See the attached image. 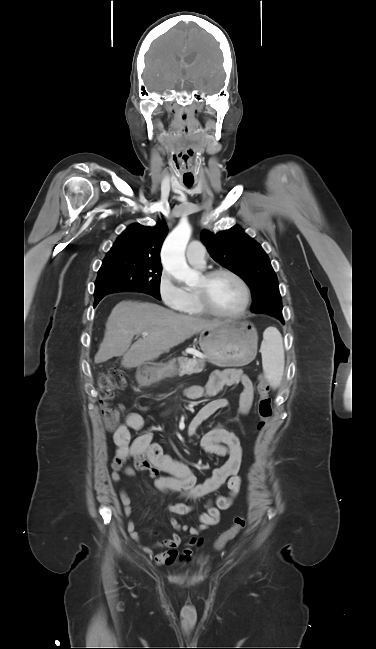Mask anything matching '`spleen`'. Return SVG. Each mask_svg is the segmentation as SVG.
<instances>
[{
    "label": "spleen",
    "instance_id": "3e777b00",
    "mask_svg": "<svg viewBox=\"0 0 376 649\" xmlns=\"http://www.w3.org/2000/svg\"><path fill=\"white\" fill-rule=\"evenodd\" d=\"M260 351L265 378L272 388H277L282 381L285 356L282 337L276 328L264 332Z\"/></svg>",
    "mask_w": 376,
    "mask_h": 649
}]
</instances>
